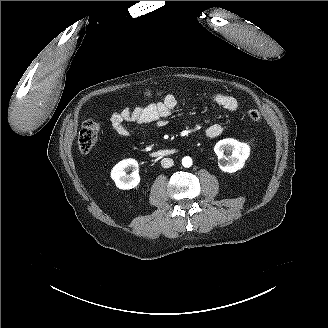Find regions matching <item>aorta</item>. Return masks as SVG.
<instances>
[{"mask_svg":"<svg viewBox=\"0 0 328 328\" xmlns=\"http://www.w3.org/2000/svg\"><path fill=\"white\" fill-rule=\"evenodd\" d=\"M182 165L186 168H189L192 166V159L191 157L189 156H185L183 159H182Z\"/></svg>","mask_w":328,"mask_h":328,"instance_id":"obj_1","label":"aorta"}]
</instances>
